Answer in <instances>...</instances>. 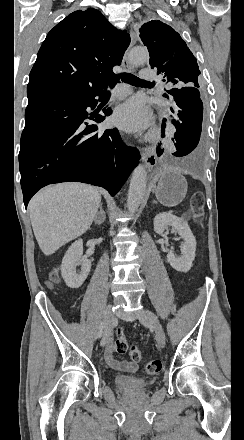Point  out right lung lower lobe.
<instances>
[{
  "instance_id": "obj_1",
  "label": "right lung lower lobe",
  "mask_w": 244,
  "mask_h": 440,
  "mask_svg": "<svg viewBox=\"0 0 244 440\" xmlns=\"http://www.w3.org/2000/svg\"><path fill=\"white\" fill-rule=\"evenodd\" d=\"M106 84L75 96L39 97L28 100L21 135L19 167L25 207L42 187L60 182L102 186L114 196L138 164L140 153L126 146L116 128L98 132L96 117L86 111L101 99ZM106 116L110 108L103 110Z\"/></svg>"
}]
</instances>
